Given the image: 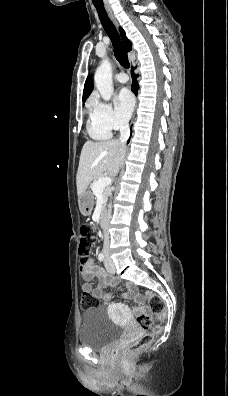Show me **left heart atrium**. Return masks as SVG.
Returning <instances> with one entry per match:
<instances>
[{
    "instance_id": "left-heart-atrium-1",
    "label": "left heart atrium",
    "mask_w": 228,
    "mask_h": 396,
    "mask_svg": "<svg viewBox=\"0 0 228 396\" xmlns=\"http://www.w3.org/2000/svg\"><path fill=\"white\" fill-rule=\"evenodd\" d=\"M135 104L132 93L127 89H122L115 98V107L118 116L127 121L133 111Z\"/></svg>"
}]
</instances>
